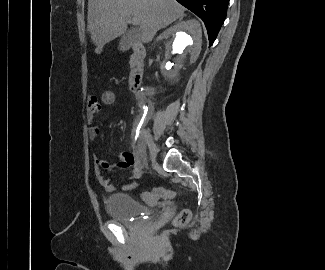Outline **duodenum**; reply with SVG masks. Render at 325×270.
Returning a JSON list of instances; mask_svg holds the SVG:
<instances>
[{"mask_svg": "<svg viewBox=\"0 0 325 270\" xmlns=\"http://www.w3.org/2000/svg\"><path fill=\"white\" fill-rule=\"evenodd\" d=\"M146 56V48L144 45L137 43L133 46L131 56V70L129 75V83L132 91L136 94L140 93L144 78V58ZM140 101L142 100L139 96Z\"/></svg>", "mask_w": 325, "mask_h": 270, "instance_id": "410a0bca", "label": "duodenum"}]
</instances>
